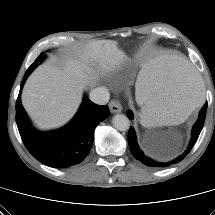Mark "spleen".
Segmentation results:
<instances>
[{"label":"spleen","instance_id":"3e777b00","mask_svg":"<svg viewBox=\"0 0 215 215\" xmlns=\"http://www.w3.org/2000/svg\"><path fill=\"white\" fill-rule=\"evenodd\" d=\"M136 89L146 127L182 121L204 99L199 75L178 55H163L145 65Z\"/></svg>","mask_w":215,"mask_h":215}]
</instances>
